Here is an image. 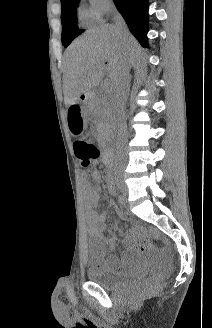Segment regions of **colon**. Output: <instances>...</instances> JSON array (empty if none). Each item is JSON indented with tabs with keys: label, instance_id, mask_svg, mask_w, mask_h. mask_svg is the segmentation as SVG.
Masks as SVG:
<instances>
[{
	"label": "colon",
	"instance_id": "5ec220e1",
	"mask_svg": "<svg viewBox=\"0 0 212 328\" xmlns=\"http://www.w3.org/2000/svg\"><path fill=\"white\" fill-rule=\"evenodd\" d=\"M83 128V124H82ZM79 136V135H76ZM76 158L83 166H89L93 160L99 157V149L95 144L82 137H77L73 144ZM153 289V285L149 284L144 287L143 292L148 293Z\"/></svg>",
	"mask_w": 212,
	"mask_h": 328
}]
</instances>
